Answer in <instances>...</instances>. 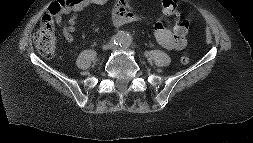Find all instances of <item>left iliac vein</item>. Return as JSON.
Wrapping results in <instances>:
<instances>
[{"label": "left iliac vein", "mask_w": 253, "mask_h": 143, "mask_svg": "<svg viewBox=\"0 0 253 143\" xmlns=\"http://www.w3.org/2000/svg\"><path fill=\"white\" fill-rule=\"evenodd\" d=\"M112 49L118 50L119 47H117V46H115V45L112 44ZM123 50H128V48L127 47H123Z\"/></svg>", "instance_id": "obj_1"}]
</instances>
